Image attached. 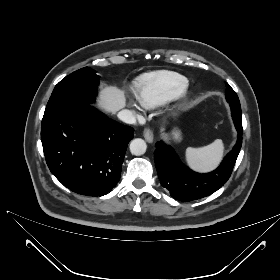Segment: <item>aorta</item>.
<instances>
[{"mask_svg": "<svg viewBox=\"0 0 280 280\" xmlns=\"http://www.w3.org/2000/svg\"><path fill=\"white\" fill-rule=\"evenodd\" d=\"M129 148L133 155L140 156L146 152L147 145L143 139L136 138L131 141Z\"/></svg>", "mask_w": 280, "mask_h": 280, "instance_id": "762f6f07", "label": "aorta"}]
</instances>
